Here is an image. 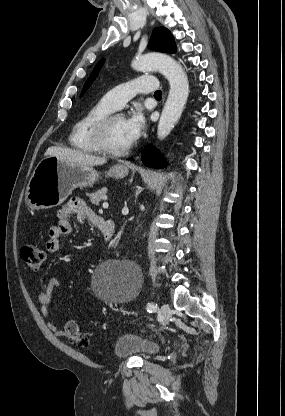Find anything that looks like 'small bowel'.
I'll list each match as a JSON object with an SVG mask.
<instances>
[{"label": "small bowel", "instance_id": "1", "mask_svg": "<svg viewBox=\"0 0 285 416\" xmlns=\"http://www.w3.org/2000/svg\"><path fill=\"white\" fill-rule=\"evenodd\" d=\"M76 217L79 223L90 221L97 225L101 220L95 213L86 205V203L79 199L73 198L69 200L58 213V223L51 226L48 230L49 240L46 243V250L50 254H55L60 251V238L72 233L71 218ZM60 286V282L56 278H52L40 290L38 299L41 303V313L46 320L50 331L58 337L65 336V331L59 328L51 319L49 307L52 301L53 293Z\"/></svg>", "mask_w": 285, "mask_h": 416}]
</instances>
